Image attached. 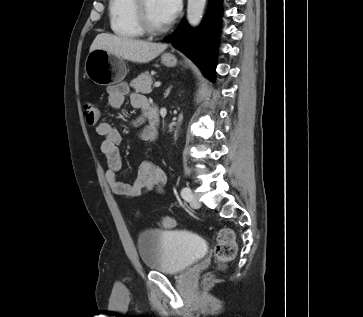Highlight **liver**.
Wrapping results in <instances>:
<instances>
[{
	"mask_svg": "<svg viewBox=\"0 0 363 317\" xmlns=\"http://www.w3.org/2000/svg\"><path fill=\"white\" fill-rule=\"evenodd\" d=\"M166 48L167 44L163 43H152L109 33H101L96 36L91 44L90 52L96 49H103L131 62L147 63L155 59Z\"/></svg>",
	"mask_w": 363,
	"mask_h": 317,
	"instance_id": "1",
	"label": "liver"
}]
</instances>
